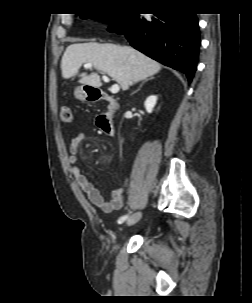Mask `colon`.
Wrapping results in <instances>:
<instances>
[{"mask_svg":"<svg viewBox=\"0 0 252 303\" xmlns=\"http://www.w3.org/2000/svg\"><path fill=\"white\" fill-rule=\"evenodd\" d=\"M60 120L63 123L70 124L73 122V114L68 106H63L60 110Z\"/></svg>","mask_w":252,"mask_h":303,"instance_id":"1","label":"colon"}]
</instances>
